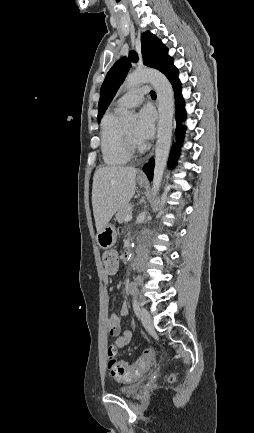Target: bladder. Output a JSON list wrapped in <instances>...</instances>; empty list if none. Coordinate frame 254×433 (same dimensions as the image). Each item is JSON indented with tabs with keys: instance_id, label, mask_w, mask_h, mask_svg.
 Listing matches in <instances>:
<instances>
[{
	"instance_id": "1",
	"label": "bladder",
	"mask_w": 254,
	"mask_h": 433,
	"mask_svg": "<svg viewBox=\"0 0 254 433\" xmlns=\"http://www.w3.org/2000/svg\"><path fill=\"white\" fill-rule=\"evenodd\" d=\"M140 388V382L122 386L117 389V393L122 396L131 397L137 394Z\"/></svg>"
}]
</instances>
